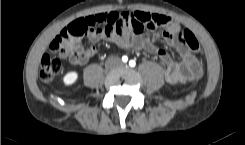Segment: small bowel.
<instances>
[{"mask_svg":"<svg viewBox=\"0 0 245 145\" xmlns=\"http://www.w3.org/2000/svg\"><path fill=\"white\" fill-rule=\"evenodd\" d=\"M143 15H146L151 19L154 15L160 14L144 11L109 12L101 14L102 20L98 19V15L93 16L96 26L87 35V38L93 45L84 48L79 40L73 41L71 53L63 57L68 58L70 63L74 65H84L95 55L96 44L102 40H109L124 48L132 45L137 49H144L150 54L158 55L165 65V78L170 83H179L200 78L202 75V65L198 56L179 38V36L168 30L165 24L162 25L164 29L160 32V35L169 47H172L177 51L181 57L180 61H175L166 50L159 48L154 43L153 37L151 36H139L130 42L126 31L120 32L109 26H100L101 21L107 24L115 23L122 17H125L128 20L139 21ZM86 19L87 17L80 18L79 20L85 22Z\"/></svg>","mask_w":245,"mask_h":145,"instance_id":"c3829d8e","label":"small bowel"}]
</instances>
